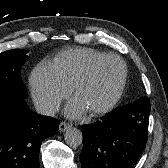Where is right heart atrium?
Returning a JSON list of instances; mask_svg holds the SVG:
<instances>
[{"label":"right heart atrium","instance_id":"right-heart-atrium-1","mask_svg":"<svg viewBox=\"0 0 168 168\" xmlns=\"http://www.w3.org/2000/svg\"><path fill=\"white\" fill-rule=\"evenodd\" d=\"M30 87L36 108L45 115L54 113L71 92L53 66L46 63L35 66L30 76Z\"/></svg>","mask_w":168,"mask_h":168}]
</instances>
